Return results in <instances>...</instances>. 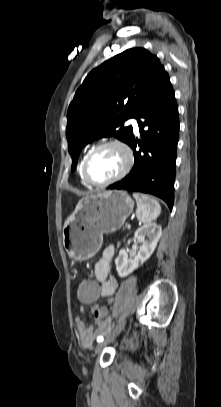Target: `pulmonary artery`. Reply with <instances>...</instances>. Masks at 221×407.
Masks as SVG:
<instances>
[{"label": "pulmonary artery", "instance_id": "e3ab8cb5", "mask_svg": "<svg viewBox=\"0 0 221 407\" xmlns=\"http://www.w3.org/2000/svg\"><path fill=\"white\" fill-rule=\"evenodd\" d=\"M129 122L132 124L134 130L137 132L138 129H139L137 119H136V118H132V119H130Z\"/></svg>", "mask_w": 221, "mask_h": 407}]
</instances>
